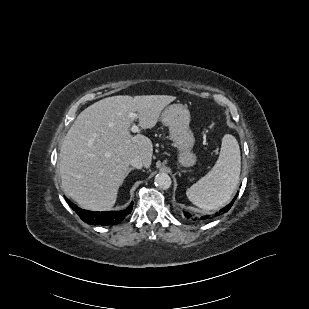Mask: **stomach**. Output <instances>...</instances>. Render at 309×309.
I'll return each mask as SVG.
<instances>
[{
    "label": "stomach",
    "instance_id": "stomach-1",
    "mask_svg": "<svg viewBox=\"0 0 309 309\" xmlns=\"http://www.w3.org/2000/svg\"><path fill=\"white\" fill-rule=\"evenodd\" d=\"M162 123L169 128L170 138L178 150V162L181 166L191 167L196 162L192 152L195 143L194 134L190 129V112L182 104H173L164 109Z\"/></svg>",
    "mask_w": 309,
    "mask_h": 309
}]
</instances>
